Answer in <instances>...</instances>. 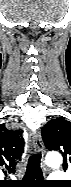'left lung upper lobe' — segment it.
Masks as SVG:
<instances>
[{"label": "left lung upper lobe", "instance_id": "obj_1", "mask_svg": "<svg viewBox=\"0 0 71 187\" xmlns=\"http://www.w3.org/2000/svg\"><path fill=\"white\" fill-rule=\"evenodd\" d=\"M42 138L48 150H57L63 155V169L71 167V122L56 118L42 129Z\"/></svg>", "mask_w": 71, "mask_h": 187}]
</instances>
